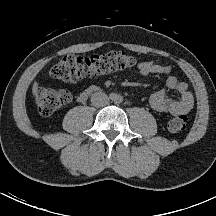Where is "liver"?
Instances as JSON below:
<instances>
[{
  "label": "liver",
  "instance_id": "1",
  "mask_svg": "<svg viewBox=\"0 0 216 216\" xmlns=\"http://www.w3.org/2000/svg\"><path fill=\"white\" fill-rule=\"evenodd\" d=\"M32 92H33V95H34L35 97L38 96L39 89H38V83H37V82H34L33 88H32Z\"/></svg>",
  "mask_w": 216,
  "mask_h": 216
}]
</instances>
